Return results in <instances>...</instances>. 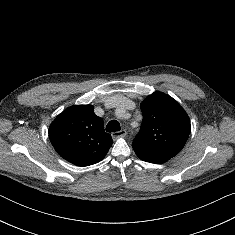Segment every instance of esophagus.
<instances>
[{"label": "esophagus", "instance_id": "esophagus-1", "mask_svg": "<svg viewBox=\"0 0 235 235\" xmlns=\"http://www.w3.org/2000/svg\"><path fill=\"white\" fill-rule=\"evenodd\" d=\"M127 134L126 130L125 129H122L120 131H117V132H113L112 133V138L115 140L119 137H125Z\"/></svg>", "mask_w": 235, "mask_h": 235}]
</instances>
